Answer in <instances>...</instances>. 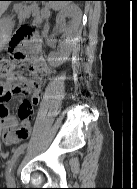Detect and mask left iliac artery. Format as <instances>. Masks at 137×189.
I'll return each instance as SVG.
<instances>
[{"mask_svg":"<svg viewBox=\"0 0 137 189\" xmlns=\"http://www.w3.org/2000/svg\"><path fill=\"white\" fill-rule=\"evenodd\" d=\"M27 144H23L21 145L14 153V155L12 156V158L10 159V161L8 162L7 168H6V179H8L9 174L11 172L12 166L14 165L15 161L17 160V158L20 156L21 153L24 152V150L26 149Z\"/></svg>","mask_w":137,"mask_h":189,"instance_id":"left-iliac-artery-1","label":"left iliac artery"}]
</instances>
